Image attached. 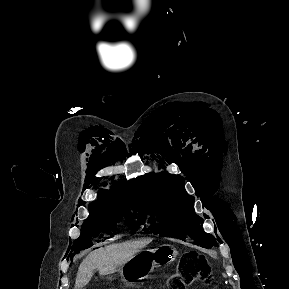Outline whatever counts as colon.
Listing matches in <instances>:
<instances>
[{
	"label": "colon",
	"instance_id": "5ec220e1",
	"mask_svg": "<svg viewBox=\"0 0 289 289\" xmlns=\"http://www.w3.org/2000/svg\"><path fill=\"white\" fill-rule=\"evenodd\" d=\"M210 275L211 270L202 257L196 252H190L173 281L177 289H184L195 283L208 282Z\"/></svg>",
	"mask_w": 289,
	"mask_h": 289
}]
</instances>
